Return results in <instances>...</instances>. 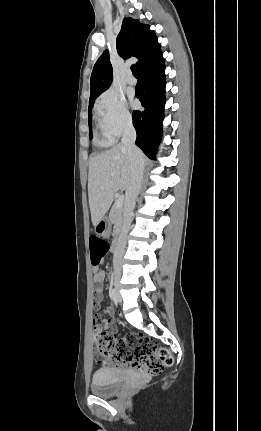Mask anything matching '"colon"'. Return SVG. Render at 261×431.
I'll list each match as a JSON object with an SVG mask.
<instances>
[{"mask_svg":"<svg viewBox=\"0 0 261 431\" xmlns=\"http://www.w3.org/2000/svg\"><path fill=\"white\" fill-rule=\"evenodd\" d=\"M109 249L106 240L90 237V258L94 267L102 263ZM95 347L102 364L128 366L147 375H157L173 364L169 350L159 348L151 339L134 333L118 338L112 332H99L95 335Z\"/></svg>","mask_w":261,"mask_h":431,"instance_id":"1","label":"colon"}]
</instances>
